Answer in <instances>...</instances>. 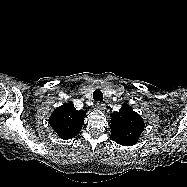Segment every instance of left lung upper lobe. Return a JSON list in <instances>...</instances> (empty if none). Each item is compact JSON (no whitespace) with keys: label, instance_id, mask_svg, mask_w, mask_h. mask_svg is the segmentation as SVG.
Instances as JSON below:
<instances>
[{"label":"left lung upper lobe","instance_id":"obj_1","mask_svg":"<svg viewBox=\"0 0 187 187\" xmlns=\"http://www.w3.org/2000/svg\"><path fill=\"white\" fill-rule=\"evenodd\" d=\"M110 127L116 143L132 146L137 143L145 124L142 117L124 103L118 112L111 114Z\"/></svg>","mask_w":187,"mask_h":187}]
</instances>
